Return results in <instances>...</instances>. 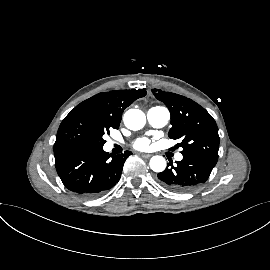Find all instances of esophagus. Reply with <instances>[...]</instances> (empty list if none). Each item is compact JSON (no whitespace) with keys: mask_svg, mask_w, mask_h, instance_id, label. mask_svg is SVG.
<instances>
[{"mask_svg":"<svg viewBox=\"0 0 270 270\" xmlns=\"http://www.w3.org/2000/svg\"><path fill=\"white\" fill-rule=\"evenodd\" d=\"M143 158H150L152 155L151 154H145V153H141L140 154Z\"/></svg>","mask_w":270,"mask_h":270,"instance_id":"1","label":"esophagus"}]
</instances>
